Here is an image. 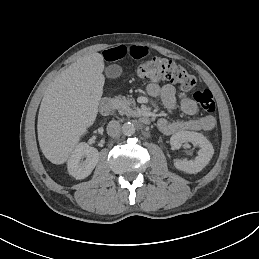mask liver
I'll return each mask as SVG.
<instances>
[{"label":"liver","mask_w":259,"mask_h":259,"mask_svg":"<svg viewBox=\"0 0 259 259\" xmlns=\"http://www.w3.org/2000/svg\"><path fill=\"white\" fill-rule=\"evenodd\" d=\"M104 58L85 55L47 86L38 113L40 149L54 165H63L88 133L99 113Z\"/></svg>","instance_id":"1"}]
</instances>
